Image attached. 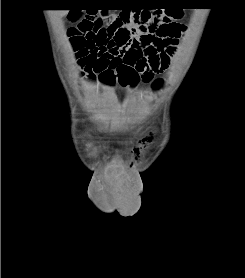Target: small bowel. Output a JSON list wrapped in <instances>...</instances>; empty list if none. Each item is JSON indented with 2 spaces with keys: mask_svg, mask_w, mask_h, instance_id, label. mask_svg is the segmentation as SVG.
Segmentation results:
<instances>
[{
  "mask_svg": "<svg viewBox=\"0 0 245 278\" xmlns=\"http://www.w3.org/2000/svg\"><path fill=\"white\" fill-rule=\"evenodd\" d=\"M104 17L110 20L114 19L115 15L105 14ZM177 27L181 32L186 31V26L183 24H177ZM87 35L86 32L79 34V39L84 46L87 42ZM111 41L108 40L102 46L95 44L96 49H104L103 57L92 59L82 51L79 53L80 66L89 83H100L112 87L117 83L122 85V81H126V87L133 86L139 78L148 80L152 75L167 69L173 53V51H166L163 54H149L147 52L149 47H138L132 50L130 47H118L111 44ZM132 79H135L133 85L130 83Z\"/></svg>",
  "mask_w": 245,
  "mask_h": 278,
  "instance_id": "1",
  "label": "small bowel"
}]
</instances>
